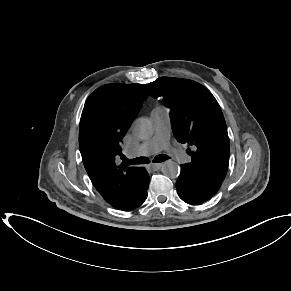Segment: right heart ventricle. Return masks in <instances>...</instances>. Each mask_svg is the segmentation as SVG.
Returning <instances> with one entry per match:
<instances>
[{"label":"right heart ventricle","mask_w":291,"mask_h":291,"mask_svg":"<svg viewBox=\"0 0 291 291\" xmlns=\"http://www.w3.org/2000/svg\"><path fill=\"white\" fill-rule=\"evenodd\" d=\"M161 109H163V108H161V107H156V108H154V110H153L152 112H154V111H159V110H161Z\"/></svg>","instance_id":"e07e8e85"}]
</instances>
